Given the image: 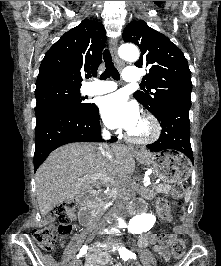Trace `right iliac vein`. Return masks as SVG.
<instances>
[{"instance_id":"1","label":"right iliac vein","mask_w":221,"mask_h":266,"mask_svg":"<svg viewBox=\"0 0 221 266\" xmlns=\"http://www.w3.org/2000/svg\"><path fill=\"white\" fill-rule=\"evenodd\" d=\"M71 266H79V260L73 261Z\"/></svg>"}]
</instances>
